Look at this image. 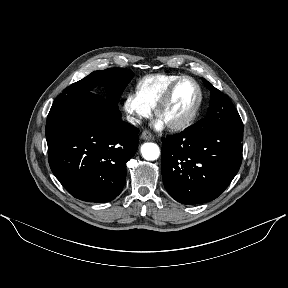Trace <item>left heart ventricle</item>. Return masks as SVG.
Returning <instances> with one entry per match:
<instances>
[{"label": "left heart ventricle", "mask_w": 288, "mask_h": 288, "mask_svg": "<svg viewBox=\"0 0 288 288\" xmlns=\"http://www.w3.org/2000/svg\"><path fill=\"white\" fill-rule=\"evenodd\" d=\"M197 98L195 85L184 80L176 87L168 105L163 109L160 119L165 124H171L184 118L192 109Z\"/></svg>", "instance_id": "left-heart-ventricle-1"}]
</instances>
